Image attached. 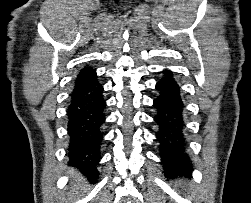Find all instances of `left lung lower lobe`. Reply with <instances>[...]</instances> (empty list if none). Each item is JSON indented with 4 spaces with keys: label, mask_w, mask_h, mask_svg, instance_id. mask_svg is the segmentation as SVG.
Returning a JSON list of instances; mask_svg holds the SVG:
<instances>
[{
    "label": "left lung lower lobe",
    "mask_w": 251,
    "mask_h": 203,
    "mask_svg": "<svg viewBox=\"0 0 251 203\" xmlns=\"http://www.w3.org/2000/svg\"><path fill=\"white\" fill-rule=\"evenodd\" d=\"M158 96L153 101L157 110L154 121L159 130L156 132L160 143V157L166 176L186 174L190 176L192 163L186 152L185 109L181 90L169 70L163 71L156 84Z\"/></svg>",
    "instance_id": "obj_1"
}]
</instances>
